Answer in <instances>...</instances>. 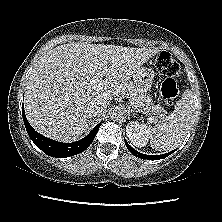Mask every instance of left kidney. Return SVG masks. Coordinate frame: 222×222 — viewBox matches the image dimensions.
<instances>
[{
	"instance_id": "5707ae66",
	"label": "left kidney",
	"mask_w": 222,
	"mask_h": 222,
	"mask_svg": "<svg viewBox=\"0 0 222 222\" xmlns=\"http://www.w3.org/2000/svg\"><path fill=\"white\" fill-rule=\"evenodd\" d=\"M126 134L134 146L141 148L146 146L149 139L150 130L144 123L130 121L126 126Z\"/></svg>"
}]
</instances>
